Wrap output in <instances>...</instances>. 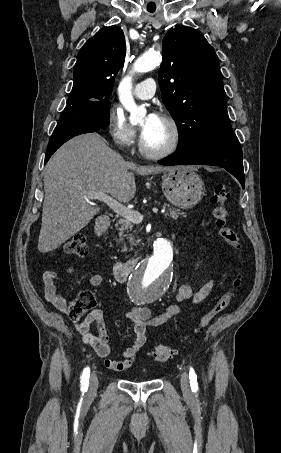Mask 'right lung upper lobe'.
I'll return each mask as SVG.
<instances>
[{"label": "right lung upper lobe", "instance_id": "right-lung-upper-lobe-1", "mask_svg": "<svg viewBox=\"0 0 281 453\" xmlns=\"http://www.w3.org/2000/svg\"><path fill=\"white\" fill-rule=\"evenodd\" d=\"M125 53L124 34L117 26L102 28L90 38L78 54L67 106L110 103L108 98Z\"/></svg>", "mask_w": 281, "mask_h": 453}]
</instances>
